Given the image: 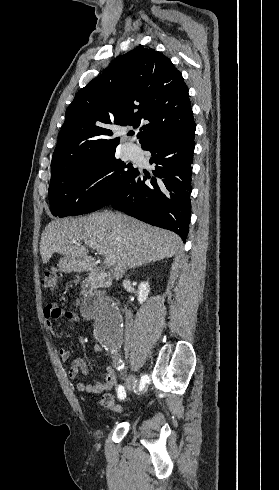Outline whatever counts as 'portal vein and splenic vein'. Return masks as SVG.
<instances>
[{
    "mask_svg": "<svg viewBox=\"0 0 279 490\" xmlns=\"http://www.w3.org/2000/svg\"><path fill=\"white\" fill-rule=\"evenodd\" d=\"M86 246H89V248H95V250H101L100 246H97V244H90V242H85ZM106 266L108 268H111V266H114L115 264V256L114 254H109L107 258L104 260Z\"/></svg>",
    "mask_w": 279,
    "mask_h": 490,
    "instance_id": "18ae733b",
    "label": "portal vein and splenic vein"
}]
</instances>
